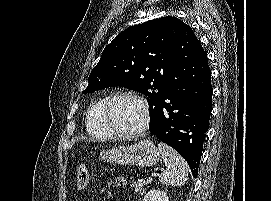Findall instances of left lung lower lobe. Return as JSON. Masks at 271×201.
Segmentation results:
<instances>
[{
  "instance_id": "1",
  "label": "left lung lower lobe",
  "mask_w": 271,
  "mask_h": 201,
  "mask_svg": "<svg viewBox=\"0 0 271 201\" xmlns=\"http://www.w3.org/2000/svg\"><path fill=\"white\" fill-rule=\"evenodd\" d=\"M212 110L211 70L193 30L184 27L152 134L174 148L197 177L205 132Z\"/></svg>"
}]
</instances>
